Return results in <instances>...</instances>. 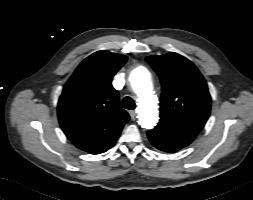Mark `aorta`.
<instances>
[{"label":"aorta","instance_id":"aorta-1","mask_svg":"<svg viewBox=\"0 0 253 200\" xmlns=\"http://www.w3.org/2000/svg\"><path fill=\"white\" fill-rule=\"evenodd\" d=\"M130 82L138 97L139 124L142 128L152 129L158 122V101L154 94L151 74L144 67L134 69Z\"/></svg>","mask_w":253,"mask_h":200}]
</instances>
